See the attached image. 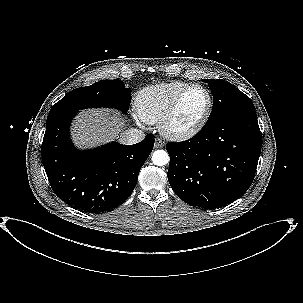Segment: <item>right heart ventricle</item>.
Here are the masks:
<instances>
[{
	"label": "right heart ventricle",
	"mask_w": 303,
	"mask_h": 303,
	"mask_svg": "<svg viewBox=\"0 0 303 303\" xmlns=\"http://www.w3.org/2000/svg\"><path fill=\"white\" fill-rule=\"evenodd\" d=\"M188 85L184 81H171L142 88L135 97L138 117L147 124L159 122L177 95Z\"/></svg>",
	"instance_id": "right-heart-ventricle-1"
}]
</instances>
